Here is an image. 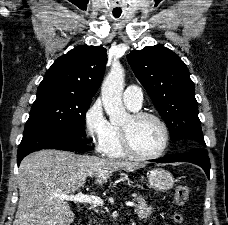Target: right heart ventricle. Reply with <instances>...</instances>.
Listing matches in <instances>:
<instances>
[{
	"mask_svg": "<svg viewBox=\"0 0 228 225\" xmlns=\"http://www.w3.org/2000/svg\"><path fill=\"white\" fill-rule=\"evenodd\" d=\"M129 108V107H128ZM130 110H133L129 108ZM136 111V110H133ZM100 152L110 158H124L128 154L123 147L122 128L112 124V131L109 139L101 146Z\"/></svg>",
	"mask_w": 228,
	"mask_h": 225,
	"instance_id": "1",
	"label": "right heart ventricle"
}]
</instances>
